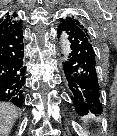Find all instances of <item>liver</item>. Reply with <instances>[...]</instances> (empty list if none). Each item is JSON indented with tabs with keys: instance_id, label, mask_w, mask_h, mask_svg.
Here are the masks:
<instances>
[{
	"instance_id": "1",
	"label": "liver",
	"mask_w": 117,
	"mask_h": 136,
	"mask_svg": "<svg viewBox=\"0 0 117 136\" xmlns=\"http://www.w3.org/2000/svg\"><path fill=\"white\" fill-rule=\"evenodd\" d=\"M17 118V109L13 104L0 102V135L7 136Z\"/></svg>"
}]
</instances>
